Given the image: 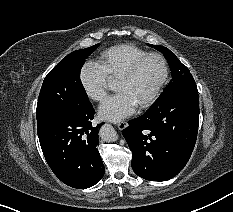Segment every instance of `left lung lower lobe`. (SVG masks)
I'll return each instance as SVG.
<instances>
[{"label":"left lung lower lobe","instance_id":"1","mask_svg":"<svg viewBox=\"0 0 233 212\" xmlns=\"http://www.w3.org/2000/svg\"><path fill=\"white\" fill-rule=\"evenodd\" d=\"M198 124V93L157 99L143 116L129 121L123 130L133 155V171L151 181L176 176L194 149Z\"/></svg>","mask_w":233,"mask_h":212}]
</instances>
